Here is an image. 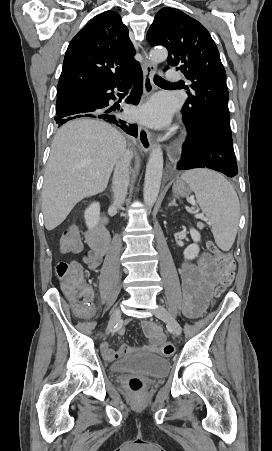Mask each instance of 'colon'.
Segmentation results:
<instances>
[{
  "label": "colon",
  "instance_id": "1",
  "mask_svg": "<svg viewBox=\"0 0 272 451\" xmlns=\"http://www.w3.org/2000/svg\"><path fill=\"white\" fill-rule=\"evenodd\" d=\"M72 227L65 230L61 237V248L64 249L65 256H79L81 242L79 241V230H71ZM209 250L215 255L219 269L213 270L211 276L214 280L213 288L216 295H220L225 288H227L235 277V261L232 255L220 250L215 244H209ZM77 259L71 261H63L56 265V274L61 289H68L69 302L73 303L75 310H84L85 307L91 304L92 293L89 288H83L82 273L78 265ZM162 354H172L174 348L172 345H162ZM126 385L133 391H139L144 382L138 378L133 377L128 380Z\"/></svg>",
  "mask_w": 272,
  "mask_h": 451
}]
</instances>
